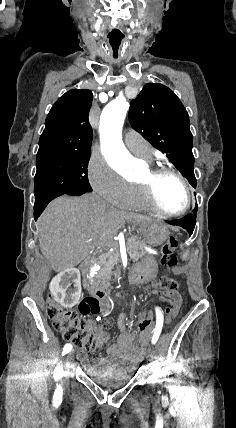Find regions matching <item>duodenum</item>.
Segmentation results:
<instances>
[{
	"instance_id": "duodenum-1",
	"label": "duodenum",
	"mask_w": 236,
	"mask_h": 428,
	"mask_svg": "<svg viewBox=\"0 0 236 428\" xmlns=\"http://www.w3.org/2000/svg\"><path fill=\"white\" fill-rule=\"evenodd\" d=\"M82 270L85 272L86 271V265L82 266ZM88 290L89 292L96 297L99 300L102 301H106L109 297V291L107 290L106 287H104L103 285L100 284H96V283H88Z\"/></svg>"
}]
</instances>
